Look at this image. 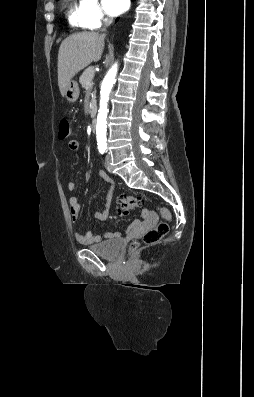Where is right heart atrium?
<instances>
[{"label": "right heart atrium", "mask_w": 254, "mask_h": 397, "mask_svg": "<svg viewBox=\"0 0 254 397\" xmlns=\"http://www.w3.org/2000/svg\"><path fill=\"white\" fill-rule=\"evenodd\" d=\"M79 14L83 25L89 29L99 28L108 21L104 10L98 0H80Z\"/></svg>", "instance_id": "d8ad5b80"}]
</instances>
